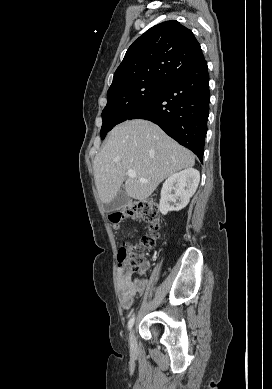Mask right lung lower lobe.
I'll list each match as a JSON object with an SVG mask.
<instances>
[{
  "label": "right lung lower lobe",
  "instance_id": "right-lung-lower-lobe-1",
  "mask_svg": "<svg viewBox=\"0 0 272 389\" xmlns=\"http://www.w3.org/2000/svg\"><path fill=\"white\" fill-rule=\"evenodd\" d=\"M209 73L204 59L166 82L163 89L128 119H146L203 161L209 115Z\"/></svg>",
  "mask_w": 272,
  "mask_h": 389
}]
</instances>
